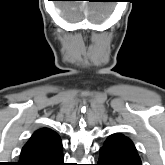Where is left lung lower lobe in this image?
I'll return each mask as SVG.
<instances>
[{
  "label": "left lung lower lobe",
  "instance_id": "obj_1",
  "mask_svg": "<svg viewBox=\"0 0 165 165\" xmlns=\"http://www.w3.org/2000/svg\"><path fill=\"white\" fill-rule=\"evenodd\" d=\"M97 165H133V164L121 163L117 161L112 155H110L101 148Z\"/></svg>",
  "mask_w": 165,
  "mask_h": 165
}]
</instances>
